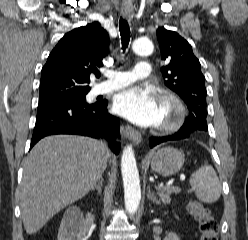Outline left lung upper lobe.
<instances>
[{
	"instance_id": "left-lung-upper-lobe-1",
	"label": "left lung upper lobe",
	"mask_w": 248,
	"mask_h": 240,
	"mask_svg": "<svg viewBox=\"0 0 248 240\" xmlns=\"http://www.w3.org/2000/svg\"><path fill=\"white\" fill-rule=\"evenodd\" d=\"M157 39L165 62L161 68L165 84L182 98L189 110V118L179 131H207L205 77L191 45L164 27L157 29Z\"/></svg>"
}]
</instances>
